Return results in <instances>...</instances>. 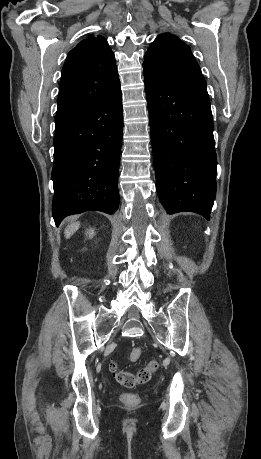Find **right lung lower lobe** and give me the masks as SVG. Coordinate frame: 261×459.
<instances>
[{
  "label": "right lung lower lobe",
  "instance_id": "1",
  "mask_svg": "<svg viewBox=\"0 0 261 459\" xmlns=\"http://www.w3.org/2000/svg\"><path fill=\"white\" fill-rule=\"evenodd\" d=\"M122 132L120 85L91 107L55 122L52 213L56 225L71 214L117 211Z\"/></svg>",
  "mask_w": 261,
  "mask_h": 459
}]
</instances>
